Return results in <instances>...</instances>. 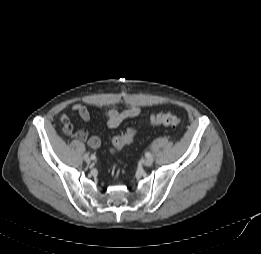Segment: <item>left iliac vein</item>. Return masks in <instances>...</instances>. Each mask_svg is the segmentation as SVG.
Here are the masks:
<instances>
[{"label": "left iliac vein", "mask_w": 261, "mask_h": 254, "mask_svg": "<svg viewBox=\"0 0 261 254\" xmlns=\"http://www.w3.org/2000/svg\"><path fill=\"white\" fill-rule=\"evenodd\" d=\"M153 162H154V159H153V157L151 156L150 158H148V159L144 162V165L147 166V167H149V166H151V165L153 164Z\"/></svg>", "instance_id": "obj_1"}]
</instances>
